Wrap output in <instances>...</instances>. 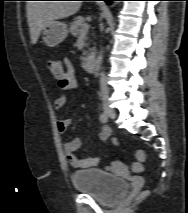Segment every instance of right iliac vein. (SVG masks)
I'll use <instances>...</instances> for the list:
<instances>
[{"instance_id": "63e3f726", "label": "right iliac vein", "mask_w": 188, "mask_h": 213, "mask_svg": "<svg viewBox=\"0 0 188 213\" xmlns=\"http://www.w3.org/2000/svg\"><path fill=\"white\" fill-rule=\"evenodd\" d=\"M104 110H105V113H107V115L109 117H111L112 119L116 118L115 110L113 108H111L108 104H105Z\"/></svg>"}]
</instances>
